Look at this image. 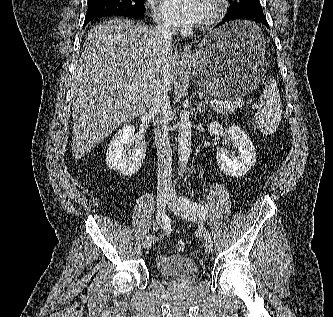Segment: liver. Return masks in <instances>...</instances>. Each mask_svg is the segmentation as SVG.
Here are the masks:
<instances>
[{"instance_id":"liver-1","label":"liver","mask_w":333,"mask_h":317,"mask_svg":"<svg viewBox=\"0 0 333 317\" xmlns=\"http://www.w3.org/2000/svg\"><path fill=\"white\" fill-rule=\"evenodd\" d=\"M178 61L154 29L112 19L87 34L72 84V156L80 159L151 106L157 82L171 90Z\"/></svg>"}]
</instances>
